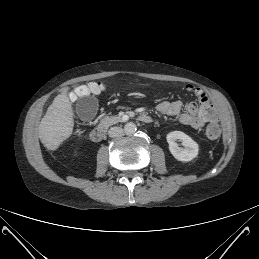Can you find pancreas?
Masks as SVG:
<instances>
[{"label":"pancreas","instance_id":"obj_1","mask_svg":"<svg viewBox=\"0 0 259 259\" xmlns=\"http://www.w3.org/2000/svg\"><path fill=\"white\" fill-rule=\"evenodd\" d=\"M118 122H121V118L119 116H104L100 120V126L102 127H109L113 124H116Z\"/></svg>","mask_w":259,"mask_h":259}]
</instances>
